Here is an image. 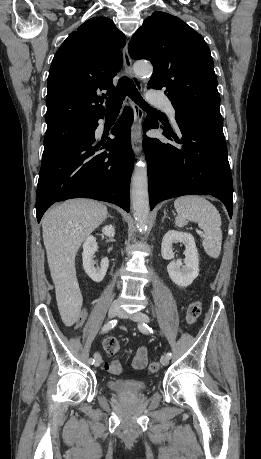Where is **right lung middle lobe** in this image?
<instances>
[{"label": "right lung middle lobe", "instance_id": "obj_1", "mask_svg": "<svg viewBox=\"0 0 261 459\" xmlns=\"http://www.w3.org/2000/svg\"><path fill=\"white\" fill-rule=\"evenodd\" d=\"M96 121L65 120L48 126L44 138L43 159L66 147L86 141L94 134Z\"/></svg>", "mask_w": 261, "mask_h": 459}]
</instances>
